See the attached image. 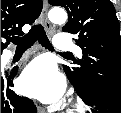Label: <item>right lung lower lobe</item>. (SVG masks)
<instances>
[{"instance_id":"1","label":"right lung lower lobe","mask_w":121,"mask_h":113,"mask_svg":"<svg viewBox=\"0 0 121 113\" xmlns=\"http://www.w3.org/2000/svg\"><path fill=\"white\" fill-rule=\"evenodd\" d=\"M16 73L17 68H14L11 72L1 75V113H36L31 99L19 96L11 89Z\"/></svg>"}]
</instances>
